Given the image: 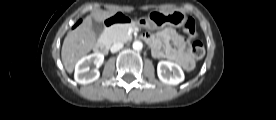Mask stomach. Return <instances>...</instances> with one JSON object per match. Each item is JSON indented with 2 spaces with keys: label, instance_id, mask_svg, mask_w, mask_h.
Segmentation results:
<instances>
[{
  "label": "stomach",
  "instance_id": "0dacf381",
  "mask_svg": "<svg viewBox=\"0 0 276 120\" xmlns=\"http://www.w3.org/2000/svg\"><path fill=\"white\" fill-rule=\"evenodd\" d=\"M187 20V15L181 11H152L147 17L140 18L136 24L142 28L160 30L165 26L181 27Z\"/></svg>",
  "mask_w": 276,
  "mask_h": 120
}]
</instances>
